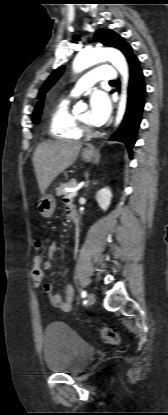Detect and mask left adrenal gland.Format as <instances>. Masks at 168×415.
I'll list each match as a JSON object with an SVG mask.
<instances>
[{"instance_id":"obj_1","label":"left adrenal gland","mask_w":168,"mask_h":415,"mask_svg":"<svg viewBox=\"0 0 168 415\" xmlns=\"http://www.w3.org/2000/svg\"><path fill=\"white\" fill-rule=\"evenodd\" d=\"M86 179H87V181H86V183H85L84 187H85V188H88V187H89V185H90V180L88 179V175L86 176Z\"/></svg>"}]
</instances>
